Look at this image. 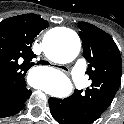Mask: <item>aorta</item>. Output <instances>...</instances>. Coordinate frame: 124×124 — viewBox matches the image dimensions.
<instances>
[{
	"instance_id": "aorta-1",
	"label": "aorta",
	"mask_w": 124,
	"mask_h": 124,
	"mask_svg": "<svg viewBox=\"0 0 124 124\" xmlns=\"http://www.w3.org/2000/svg\"><path fill=\"white\" fill-rule=\"evenodd\" d=\"M44 48L50 60L69 63L80 51V39L73 30L60 28L53 35L45 37ZM32 84L33 87L43 89L46 93L60 98L69 96L73 91L71 81L60 71H53L51 80L43 76L35 77Z\"/></svg>"
}]
</instances>
